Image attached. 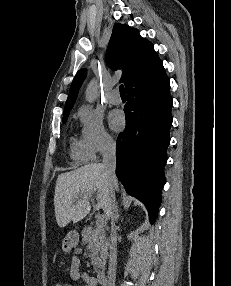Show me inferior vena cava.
<instances>
[{
    "mask_svg": "<svg viewBox=\"0 0 231 286\" xmlns=\"http://www.w3.org/2000/svg\"><path fill=\"white\" fill-rule=\"evenodd\" d=\"M103 166L109 181L110 199L106 214L111 218V234H110V255L108 268V286H114L116 277L117 265V232L114 221L115 208V192L114 188L117 186V178L115 175L116 167V147L112 139H107L103 146Z\"/></svg>",
    "mask_w": 231,
    "mask_h": 286,
    "instance_id": "obj_1",
    "label": "inferior vena cava"
}]
</instances>
